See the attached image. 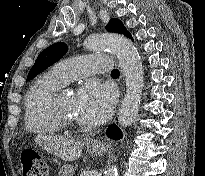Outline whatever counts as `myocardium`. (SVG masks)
Segmentation results:
<instances>
[{
  "mask_svg": "<svg viewBox=\"0 0 205 176\" xmlns=\"http://www.w3.org/2000/svg\"><path fill=\"white\" fill-rule=\"evenodd\" d=\"M53 115L60 123L61 127H69L78 125L79 121L75 117L66 113L61 105V93H56L52 101Z\"/></svg>",
  "mask_w": 205,
  "mask_h": 176,
  "instance_id": "obj_1",
  "label": "myocardium"
}]
</instances>
